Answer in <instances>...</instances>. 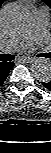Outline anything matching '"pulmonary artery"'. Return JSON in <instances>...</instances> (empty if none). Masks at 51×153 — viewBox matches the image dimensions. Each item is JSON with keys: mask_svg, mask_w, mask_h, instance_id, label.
<instances>
[{"mask_svg": "<svg viewBox=\"0 0 51 153\" xmlns=\"http://www.w3.org/2000/svg\"><path fill=\"white\" fill-rule=\"evenodd\" d=\"M48 26V12L41 7L34 11L28 31L20 37L10 39L1 45L4 52L24 50L36 40L42 39Z\"/></svg>", "mask_w": 51, "mask_h": 153, "instance_id": "e3ab8cb5", "label": "pulmonary artery"}]
</instances>
